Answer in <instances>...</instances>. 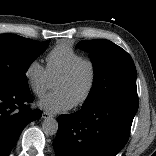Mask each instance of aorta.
<instances>
[{
	"label": "aorta",
	"instance_id": "obj_1",
	"mask_svg": "<svg viewBox=\"0 0 156 156\" xmlns=\"http://www.w3.org/2000/svg\"><path fill=\"white\" fill-rule=\"evenodd\" d=\"M42 130L46 135H55L58 131V122L52 117H47L42 122Z\"/></svg>",
	"mask_w": 156,
	"mask_h": 156
}]
</instances>
